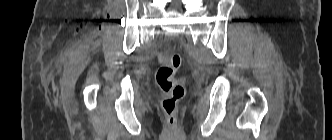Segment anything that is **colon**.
I'll use <instances>...</instances> for the list:
<instances>
[{
  "label": "colon",
  "mask_w": 332,
  "mask_h": 140,
  "mask_svg": "<svg viewBox=\"0 0 332 140\" xmlns=\"http://www.w3.org/2000/svg\"><path fill=\"white\" fill-rule=\"evenodd\" d=\"M160 67L156 71L155 80L163 93L161 106L170 125L175 124L178 104L185 95V87L175 79L181 65V57L177 53L162 52L159 57Z\"/></svg>",
  "instance_id": "colon-1"
}]
</instances>
